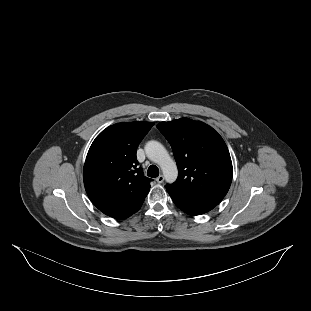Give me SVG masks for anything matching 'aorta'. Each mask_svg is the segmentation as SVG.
Returning <instances> with one entry per match:
<instances>
[{
  "label": "aorta",
  "mask_w": 311,
  "mask_h": 311,
  "mask_svg": "<svg viewBox=\"0 0 311 311\" xmlns=\"http://www.w3.org/2000/svg\"><path fill=\"white\" fill-rule=\"evenodd\" d=\"M145 151L147 157L161 168L168 182H173L177 178L178 169L176 162L161 143L150 141L145 146Z\"/></svg>",
  "instance_id": "obj_1"
}]
</instances>
